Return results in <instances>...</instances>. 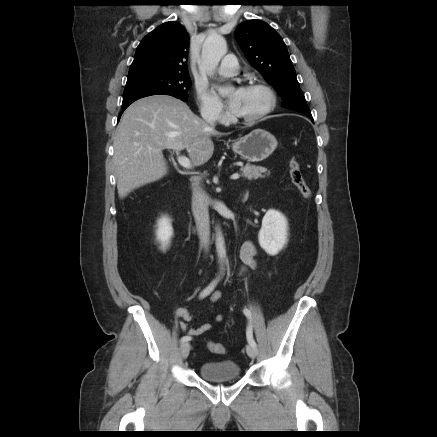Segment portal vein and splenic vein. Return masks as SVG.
I'll return each instance as SVG.
<instances>
[{"label": "portal vein and splenic vein", "instance_id": "portal-vein-and-splenic-vein-1", "mask_svg": "<svg viewBox=\"0 0 437 437\" xmlns=\"http://www.w3.org/2000/svg\"><path fill=\"white\" fill-rule=\"evenodd\" d=\"M177 160H178L179 164L182 167H184L186 169H191L192 168V164H191L190 160L187 157H185V156H178ZM239 177H240V175L238 173H235V174H233L231 176V179H238Z\"/></svg>", "mask_w": 437, "mask_h": 437}]
</instances>
